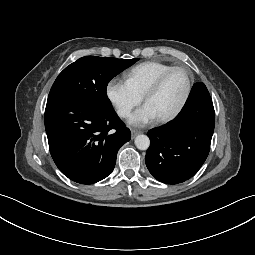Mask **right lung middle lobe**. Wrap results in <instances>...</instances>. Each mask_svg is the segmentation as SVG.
<instances>
[{
    "mask_svg": "<svg viewBox=\"0 0 255 255\" xmlns=\"http://www.w3.org/2000/svg\"><path fill=\"white\" fill-rule=\"evenodd\" d=\"M134 59L85 56L67 66L55 80L48 98L70 97L103 111H113L106 88L110 80L133 65Z\"/></svg>",
    "mask_w": 255,
    "mask_h": 255,
    "instance_id": "dd1d6c3e",
    "label": "right lung middle lobe"
}]
</instances>
